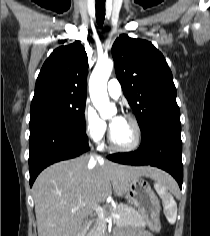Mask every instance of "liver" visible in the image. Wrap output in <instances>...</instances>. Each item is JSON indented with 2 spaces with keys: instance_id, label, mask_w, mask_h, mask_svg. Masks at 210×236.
<instances>
[{
  "instance_id": "6515ba94",
  "label": "liver",
  "mask_w": 210,
  "mask_h": 236,
  "mask_svg": "<svg viewBox=\"0 0 210 236\" xmlns=\"http://www.w3.org/2000/svg\"><path fill=\"white\" fill-rule=\"evenodd\" d=\"M141 176L173 182L154 167H130L88 156L47 167L33 185L38 236H78L95 205L104 202L112 189L123 196L128 183Z\"/></svg>"
}]
</instances>
